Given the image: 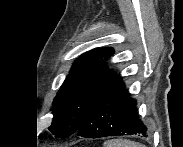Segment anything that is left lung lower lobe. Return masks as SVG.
I'll use <instances>...</instances> for the list:
<instances>
[{
  "label": "left lung lower lobe",
  "instance_id": "1",
  "mask_svg": "<svg viewBox=\"0 0 183 147\" xmlns=\"http://www.w3.org/2000/svg\"><path fill=\"white\" fill-rule=\"evenodd\" d=\"M136 100L129 97L120 80L94 105L76 132L79 136L101 138L115 135H148L139 119Z\"/></svg>",
  "mask_w": 183,
  "mask_h": 147
}]
</instances>
